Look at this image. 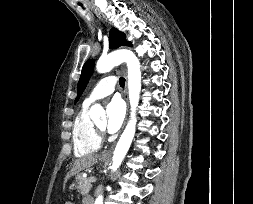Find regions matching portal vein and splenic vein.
<instances>
[{"label": "portal vein and splenic vein", "instance_id": "portal-vein-and-splenic-vein-1", "mask_svg": "<svg viewBox=\"0 0 253 204\" xmlns=\"http://www.w3.org/2000/svg\"><path fill=\"white\" fill-rule=\"evenodd\" d=\"M89 180H90V182H96V177L91 176V177H89Z\"/></svg>", "mask_w": 253, "mask_h": 204}]
</instances>
